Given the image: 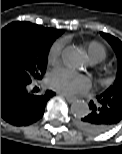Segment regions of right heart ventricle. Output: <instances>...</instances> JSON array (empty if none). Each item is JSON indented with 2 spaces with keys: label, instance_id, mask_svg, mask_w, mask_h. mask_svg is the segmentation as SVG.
Listing matches in <instances>:
<instances>
[{
  "label": "right heart ventricle",
  "instance_id": "1",
  "mask_svg": "<svg viewBox=\"0 0 122 154\" xmlns=\"http://www.w3.org/2000/svg\"><path fill=\"white\" fill-rule=\"evenodd\" d=\"M85 48L92 63H99L106 58L107 52L105 47L96 41L86 43Z\"/></svg>",
  "mask_w": 122,
  "mask_h": 154
}]
</instances>
